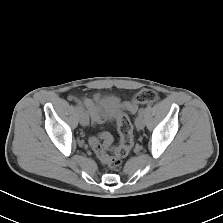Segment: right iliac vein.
<instances>
[{
    "instance_id": "obj_1",
    "label": "right iliac vein",
    "mask_w": 223,
    "mask_h": 223,
    "mask_svg": "<svg viewBox=\"0 0 223 223\" xmlns=\"http://www.w3.org/2000/svg\"><path fill=\"white\" fill-rule=\"evenodd\" d=\"M80 124L82 126H87L89 124V117L86 112L80 111Z\"/></svg>"
}]
</instances>
